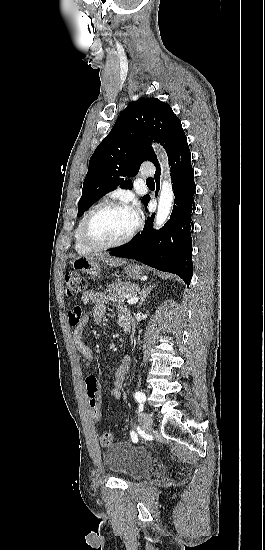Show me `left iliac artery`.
<instances>
[{"mask_svg":"<svg viewBox=\"0 0 265 550\" xmlns=\"http://www.w3.org/2000/svg\"><path fill=\"white\" fill-rule=\"evenodd\" d=\"M135 398L140 403V410H142L143 409V403L146 400L145 394L143 392L138 391V392L135 393ZM131 438H132V441L134 443H137L138 438H137V435L134 432H131Z\"/></svg>","mask_w":265,"mask_h":550,"instance_id":"left-iliac-artery-1","label":"left iliac artery"}]
</instances>
